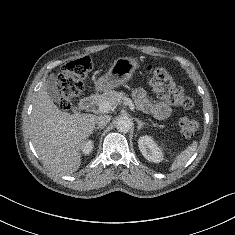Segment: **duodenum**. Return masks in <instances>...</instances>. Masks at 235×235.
I'll list each match as a JSON object with an SVG mask.
<instances>
[{"instance_id": "duodenum-1", "label": "duodenum", "mask_w": 235, "mask_h": 235, "mask_svg": "<svg viewBox=\"0 0 235 235\" xmlns=\"http://www.w3.org/2000/svg\"><path fill=\"white\" fill-rule=\"evenodd\" d=\"M94 103H95V96L91 94L81 99L79 103V108L83 111H86L90 109L94 105Z\"/></svg>"}]
</instances>
